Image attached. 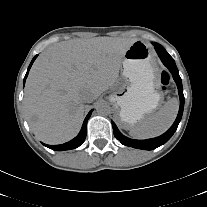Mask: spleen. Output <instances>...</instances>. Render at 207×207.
<instances>
[{
	"label": "spleen",
	"instance_id": "obj_1",
	"mask_svg": "<svg viewBox=\"0 0 207 207\" xmlns=\"http://www.w3.org/2000/svg\"><path fill=\"white\" fill-rule=\"evenodd\" d=\"M179 109V101L172 98L156 113L141 120L129 129L130 136L147 139L161 135L174 122Z\"/></svg>",
	"mask_w": 207,
	"mask_h": 207
}]
</instances>
